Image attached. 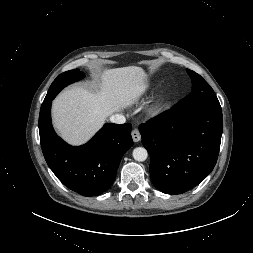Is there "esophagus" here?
<instances>
[{
    "mask_svg": "<svg viewBox=\"0 0 253 253\" xmlns=\"http://www.w3.org/2000/svg\"><path fill=\"white\" fill-rule=\"evenodd\" d=\"M131 136L134 142H139L141 140V134L138 129H134Z\"/></svg>",
    "mask_w": 253,
    "mask_h": 253,
    "instance_id": "esophagus-1",
    "label": "esophagus"
}]
</instances>
